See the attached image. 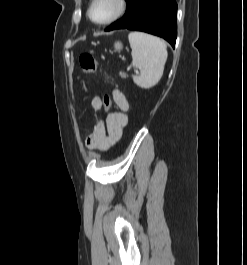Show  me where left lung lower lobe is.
<instances>
[{
	"label": "left lung lower lobe",
	"instance_id": "0a47b994",
	"mask_svg": "<svg viewBox=\"0 0 247 265\" xmlns=\"http://www.w3.org/2000/svg\"><path fill=\"white\" fill-rule=\"evenodd\" d=\"M127 12L105 31L130 29L160 36L175 47L177 4L175 0H126Z\"/></svg>",
	"mask_w": 247,
	"mask_h": 265
}]
</instances>
